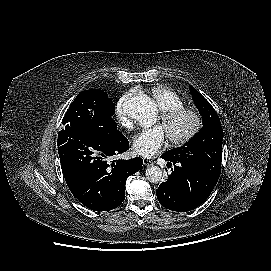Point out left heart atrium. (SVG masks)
<instances>
[{"label":"left heart atrium","mask_w":271,"mask_h":271,"mask_svg":"<svg viewBox=\"0 0 271 271\" xmlns=\"http://www.w3.org/2000/svg\"><path fill=\"white\" fill-rule=\"evenodd\" d=\"M168 134L162 125L144 129L135 135L132 143L134 152L143 157H152L167 144Z\"/></svg>","instance_id":"39dd6f15"}]
</instances>
